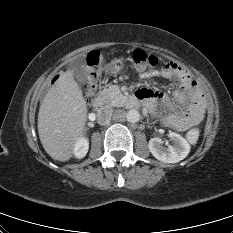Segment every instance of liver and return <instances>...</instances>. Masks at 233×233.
<instances>
[{"mask_svg": "<svg viewBox=\"0 0 233 233\" xmlns=\"http://www.w3.org/2000/svg\"><path fill=\"white\" fill-rule=\"evenodd\" d=\"M87 105L72 70L63 72L40 105L38 133L46 153L68 161L76 141L86 132Z\"/></svg>", "mask_w": 233, "mask_h": 233, "instance_id": "1", "label": "liver"}]
</instances>
